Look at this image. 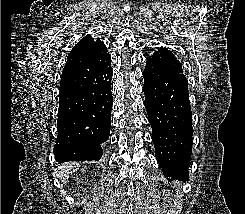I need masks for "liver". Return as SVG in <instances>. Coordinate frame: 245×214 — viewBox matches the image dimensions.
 <instances>
[{"label":"liver","instance_id":"obj_1","mask_svg":"<svg viewBox=\"0 0 245 214\" xmlns=\"http://www.w3.org/2000/svg\"><path fill=\"white\" fill-rule=\"evenodd\" d=\"M79 166L78 163H67L66 165H62L58 171V177L61 183L64 184L70 175L79 169Z\"/></svg>","mask_w":245,"mask_h":214}]
</instances>
